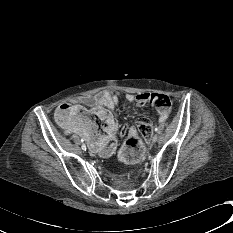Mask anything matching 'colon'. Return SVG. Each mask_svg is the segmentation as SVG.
Returning a JSON list of instances; mask_svg holds the SVG:
<instances>
[{
  "mask_svg": "<svg viewBox=\"0 0 233 233\" xmlns=\"http://www.w3.org/2000/svg\"><path fill=\"white\" fill-rule=\"evenodd\" d=\"M152 103L157 107H169L170 100L168 97L156 98ZM78 111V107L70 103L62 104L56 113L58 122L61 125L67 126L72 123L73 117ZM93 115L103 121L109 115L108 110L105 108H97L93 111ZM151 134V126L148 120L140 119L138 121V131L136 133L130 134L125 142V148L129 146L139 147L144 140L149 138Z\"/></svg>",
  "mask_w": 233,
  "mask_h": 233,
  "instance_id": "5ec220e1",
  "label": "colon"
}]
</instances>
